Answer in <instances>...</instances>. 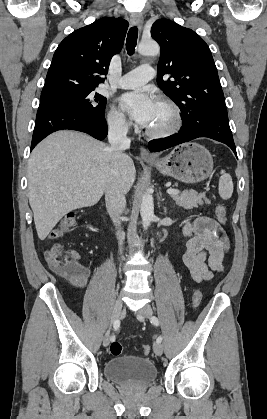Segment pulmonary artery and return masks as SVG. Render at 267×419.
I'll use <instances>...</instances> for the list:
<instances>
[{
    "label": "pulmonary artery",
    "instance_id": "obj_1",
    "mask_svg": "<svg viewBox=\"0 0 267 419\" xmlns=\"http://www.w3.org/2000/svg\"><path fill=\"white\" fill-rule=\"evenodd\" d=\"M154 68L143 64L122 76L118 82L121 88H135L144 85L154 77Z\"/></svg>",
    "mask_w": 267,
    "mask_h": 419
}]
</instances>
